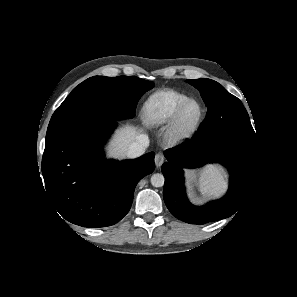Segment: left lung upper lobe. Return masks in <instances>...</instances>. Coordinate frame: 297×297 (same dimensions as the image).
<instances>
[{
  "label": "left lung upper lobe",
  "instance_id": "obj_1",
  "mask_svg": "<svg viewBox=\"0 0 297 297\" xmlns=\"http://www.w3.org/2000/svg\"><path fill=\"white\" fill-rule=\"evenodd\" d=\"M187 82L199 90L208 108L206 118L194 134L196 137L231 133L256 141L249 115L237 97L214 80L201 78Z\"/></svg>",
  "mask_w": 297,
  "mask_h": 297
}]
</instances>
